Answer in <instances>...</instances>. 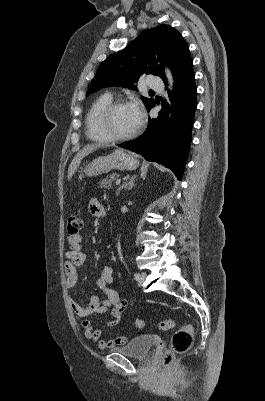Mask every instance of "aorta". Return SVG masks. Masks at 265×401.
<instances>
[{
    "label": "aorta",
    "instance_id": "aorta-1",
    "mask_svg": "<svg viewBox=\"0 0 265 401\" xmlns=\"http://www.w3.org/2000/svg\"><path fill=\"white\" fill-rule=\"evenodd\" d=\"M165 74L168 78V82H169V88H171L172 84H173V76L171 74V70H169V68H165Z\"/></svg>",
    "mask_w": 265,
    "mask_h": 401
}]
</instances>
